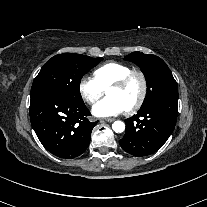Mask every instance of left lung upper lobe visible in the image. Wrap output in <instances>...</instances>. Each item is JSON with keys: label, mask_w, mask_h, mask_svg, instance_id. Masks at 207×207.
Returning a JSON list of instances; mask_svg holds the SVG:
<instances>
[{"label": "left lung upper lobe", "mask_w": 207, "mask_h": 207, "mask_svg": "<svg viewBox=\"0 0 207 207\" xmlns=\"http://www.w3.org/2000/svg\"><path fill=\"white\" fill-rule=\"evenodd\" d=\"M127 61L138 65L147 81V95L141 108L164 96H178V86L165 62L151 54L132 52L125 56Z\"/></svg>", "instance_id": "obj_1"}]
</instances>
